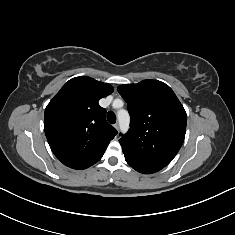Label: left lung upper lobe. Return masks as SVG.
<instances>
[{
	"mask_svg": "<svg viewBox=\"0 0 235 235\" xmlns=\"http://www.w3.org/2000/svg\"><path fill=\"white\" fill-rule=\"evenodd\" d=\"M127 102L130 129L119 142L123 152L167 166L181 148L187 115L173 90L157 80L117 88Z\"/></svg>",
	"mask_w": 235,
	"mask_h": 235,
	"instance_id": "1",
	"label": "left lung upper lobe"
}]
</instances>
